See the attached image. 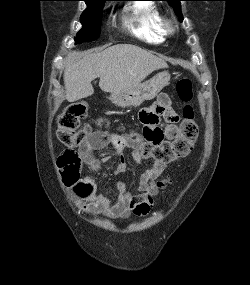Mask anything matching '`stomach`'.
<instances>
[{"label":"stomach","mask_w":250,"mask_h":285,"mask_svg":"<svg viewBox=\"0 0 250 285\" xmlns=\"http://www.w3.org/2000/svg\"><path fill=\"white\" fill-rule=\"evenodd\" d=\"M170 74L166 71L125 91L111 93L109 99L117 106H140L144 101L154 99L169 84Z\"/></svg>","instance_id":"obj_1"}]
</instances>
